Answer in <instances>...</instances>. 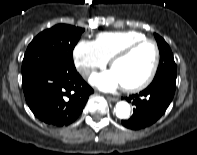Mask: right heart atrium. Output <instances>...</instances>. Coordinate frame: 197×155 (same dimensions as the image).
I'll list each match as a JSON object with an SVG mask.
<instances>
[{"label":"right heart atrium","instance_id":"d8ad5b80","mask_svg":"<svg viewBox=\"0 0 197 155\" xmlns=\"http://www.w3.org/2000/svg\"><path fill=\"white\" fill-rule=\"evenodd\" d=\"M73 58L76 69L83 77L90 76L108 63V59L93 40H80L73 49Z\"/></svg>","mask_w":197,"mask_h":155}]
</instances>
